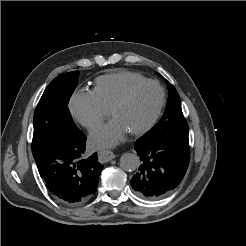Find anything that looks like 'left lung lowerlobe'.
Here are the masks:
<instances>
[{
	"mask_svg": "<svg viewBox=\"0 0 246 246\" xmlns=\"http://www.w3.org/2000/svg\"><path fill=\"white\" fill-rule=\"evenodd\" d=\"M135 150L142 162L131 185L141 197L161 198L179 185L189 164L188 134H169L155 139L143 136L135 143Z\"/></svg>",
	"mask_w": 246,
	"mask_h": 246,
	"instance_id": "obj_1",
	"label": "left lung lower lobe"
}]
</instances>
